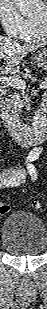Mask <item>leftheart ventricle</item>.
I'll list each match as a JSON object with an SVG mask.
<instances>
[{
	"label": "left heart ventricle",
	"instance_id": "obj_1",
	"mask_svg": "<svg viewBox=\"0 0 47 309\" xmlns=\"http://www.w3.org/2000/svg\"><path fill=\"white\" fill-rule=\"evenodd\" d=\"M46 12L43 11L41 14H39L38 16H35L34 18V21H38V22H41V23H44L45 22V19H46Z\"/></svg>",
	"mask_w": 47,
	"mask_h": 309
}]
</instances>
